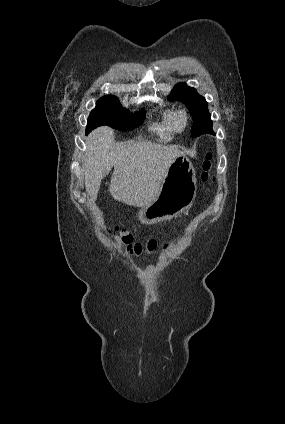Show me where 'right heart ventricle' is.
Instances as JSON below:
<instances>
[{
    "label": "right heart ventricle",
    "instance_id": "obj_1",
    "mask_svg": "<svg viewBox=\"0 0 285 424\" xmlns=\"http://www.w3.org/2000/svg\"><path fill=\"white\" fill-rule=\"evenodd\" d=\"M173 115L172 110H166L162 113L160 120L153 125V129L164 139H169L176 132Z\"/></svg>",
    "mask_w": 285,
    "mask_h": 424
}]
</instances>
